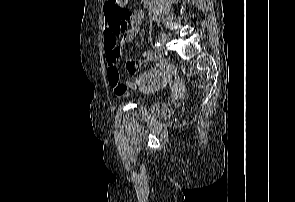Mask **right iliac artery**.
Masks as SVG:
<instances>
[{
  "mask_svg": "<svg viewBox=\"0 0 295 202\" xmlns=\"http://www.w3.org/2000/svg\"><path fill=\"white\" fill-rule=\"evenodd\" d=\"M154 48H155L156 50H160V48H161L160 43H158V42L155 43Z\"/></svg>",
  "mask_w": 295,
  "mask_h": 202,
  "instance_id": "obj_1",
  "label": "right iliac artery"
}]
</instances>
